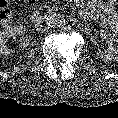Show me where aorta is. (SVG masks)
<instances>
[{
    "label": "aorta",
    "mask_w": 118,
    "mask_h": 118,
    "mask_svg": "<svg viewBox=\"0 0 118 118\" xmlns=\"http://www.w3.org/2000/svg\"><path fill=\"white\" fill-rule=\"evenodd\" d=\"M46 24L50 27H57L62 23V17L59 14H50L46 17Z\"/></svg>",
    "instance_id": "1"
}]
</instances>
